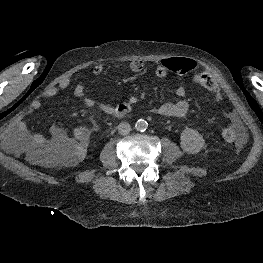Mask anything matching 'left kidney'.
Here are the masks:
<instances>
[{"instance_id":"obj_1","label":"left kidney","mask_w":263,"mask_h":263,"mask_svg":"<svg viewBox=\"0 0 263 263\" xmlns=\"http://www.w3.org/2000/svg\"><path fill=\"white\" fill-rule=\"evenodd\" d=\"M180 140L181 148L189 154H196L206 146L203 136L197 130L191 128L182 131Z\"/></svg>"}]
</instances>
